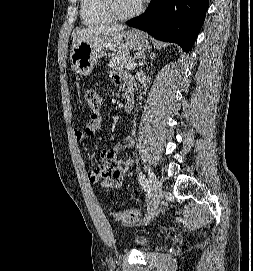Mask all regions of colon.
Instances as JSON below:
<instances>
[{
    "mask_svg": "<svg viewBox=\"0 0 253 271\" xmlns=\"http://www.w3.org/2000/svg\"><path fill=\"white\" fill-rule=\"evenodd\" d=\"M80 90L89 109L92 112L97 113L102 105L101 95L90 86H81ZM114 217L119 223L133 224L139 220L140 212L137 209L116 211Z\"/></svg>",
    "mask_w": 253,
    "mask_h": 271,
    "instance_id": "5ec220e1",
    "label": "colon"
}]
</instances>
